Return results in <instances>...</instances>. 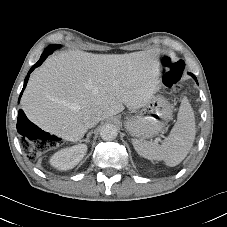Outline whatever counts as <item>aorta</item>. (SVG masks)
Segmentation results:
<instances>
[{"instance_id": "1", "label": "aorta", "mask_w": 227, "mask_h": 227, "mask_svg": "<svg viewBox=\"0 0 227 227\" xmlns=\"http://www.w3.org/2000/svg\"><path fill=\"white\" fill-rule=\"evenodd\" d=\"M118 135V129L113 124H105L102 126L100 131V136L105 141H112L114 140Z\"/></svg>"}]
</instances>
